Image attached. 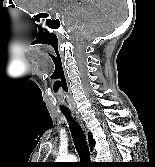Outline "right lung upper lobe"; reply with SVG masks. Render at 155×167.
<instances>
[{"mask_svg": "<svg viewBox=\"0 0 155 167\" xmlns=\"http://www.w3.org/2000/svg\"><path fill=\"white\" fill-rule=\"evenodd\" d=\"M89 144H90L91 149H92V147L94 145V140L92 139V135L91 134H89Z\"/></svg>", "mask_w": 155, "mask_h": 167, "instance_id": "right-lung-upper-lobe-1", "label": "right lung upper lobe"}]
</instances>
